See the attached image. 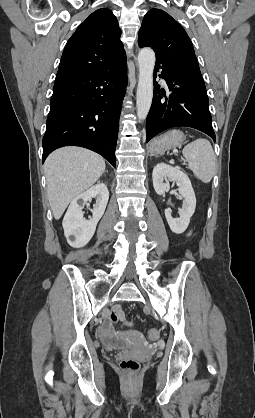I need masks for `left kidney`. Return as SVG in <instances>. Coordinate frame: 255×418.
Returning a JSON list of instances; mask_svg holds the SVG:
<instances>
[{
    "mask_svg": "<svg viewBox=\"0 0 255 418\" xmlns=\"http://www.w3.org/2000/svg\"><path fill=\"white\" fill-rule=\"evenodd\" d=\"M153 187L157 194L162 195L169 187L165 181H172L179 187V193L184 198L179 218H173L169 209L165 210V217L172 232L183 233L194 214L196 207V197L188 176L179 168H174L165 163H158L152 173Z\"/></svg>",
    "mask_w": 255,
    "mask_h": 418,
    "instance_id": "obj_1",
    "label": "left kidney"
}]
</instances>
